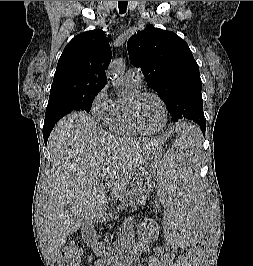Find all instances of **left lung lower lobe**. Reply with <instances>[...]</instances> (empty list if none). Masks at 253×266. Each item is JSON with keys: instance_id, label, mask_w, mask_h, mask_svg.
<instances>
[{"instance_id": "1", "label": "left lung lower lobe", "mask_w": 253, "mask_h": 266, "mask_svg": "<svg viewBox=\"0 0 253 266\" xmlns=\"http://www.w3.org/2000/svg\"><path fill=\"white\" fill-rule=\"evenodd\" d=\"M200 127H201V129H202V132L205 133L206 126L202 125V126H200Z\"/></svg>"}]
</instances>
